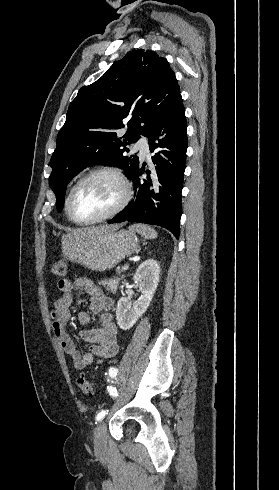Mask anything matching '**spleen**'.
<instances>
[{
	"label": "spleen",
	"mask_w": 279,
	"mask_h": 490,
	"mask_svg": "<svg viewBox=\"0 0 279 490\" xmlns=\"http://www.w3.org/2000/svg\"><path fill=\"white\" fill-rule=\"evenodd\" d=\"M129 230H133V232H137V234H141L144 236L145 240H152V238H156V232L150 226H146V224H133V226H129Z\"/></svg>",
	"instance_id": "3e777b00"
}]
</instances>
